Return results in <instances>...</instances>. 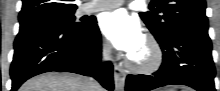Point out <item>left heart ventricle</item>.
Segmentation results:
<instances>
[{"label":"left heart ventricle","mask_w":220,"mask_h":91,"mask_svg":"<svg viewBox=\"0 0 220 91\" xmlns=\"http://www.w3.org/2000/svg\"><path fill=\"white\" fill-rule=\"evenodd\" d=\"M149 55V49L144 42L131 56L136 62H144L146 61Z\"/></svg>","instance_id":"obj_1"}]
</instances>
